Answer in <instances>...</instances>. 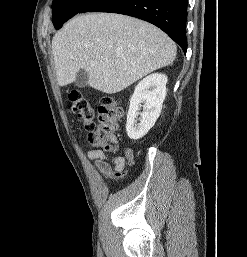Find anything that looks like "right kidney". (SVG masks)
Masks as SVG:
<instances>
[{
	"mask_svg": "<svg viewBox=\"0 0 247 257\" xmlns=\"http://www.w3.org/2000/svg\"><path fill=\"white\" fill-rule=\"evenodd\" d=\"M166 83L167 76L165 74L154 73L145 77L135 87L130 99L126 123V131L130 139L142 138L154 126L166 96ZM143 102V112L140 113ZM138 115L141 116L140 123L135 120Z\"/></svg>",
	"mask_w": 247,
	"mask_h": 257,
	"instance_id": "1",
	"label": "right kidney"
}]
</instances>
